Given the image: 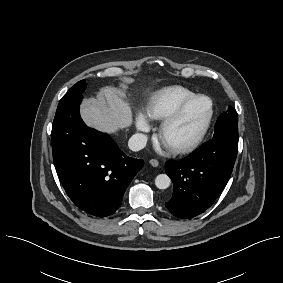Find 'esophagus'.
I'll list each match as a JSON object with an SVG mask.
<instances>
[{"label":"esophagus","mask_w":283,"mask_h":283,"mask_svg":"<svg viewBox=\"0 0 283 283\" xmlns=\"http://www.w3.org/2000/svg\"><path fill=\"white\" fill-rule=\"evenodd\" d=\"M149 163L153 166V167H157L159 165V162L156 159H151L149 161Z\"/></svg>","instance_id":"esophagus-1"}]
</instances>
